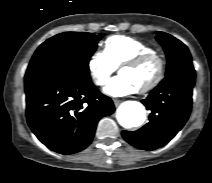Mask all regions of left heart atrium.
Instances as JSON below:
<instances>
[{"label":"left heart atrium","instance_id":"obj_1","mask_svg":"<svg viewBox=\"0 0 212 183\" xmlns=\"http://www.w3.org/2000/svg\"><path fill=\"white\" fill-rule=\"evenodd\" d=\"M137 90L133 83L121 75L115 77L104 89L105 93L112 97L127 96L135 93Z\"/></svg>","mask_w":212,"mask_h":183}]
</instances>
